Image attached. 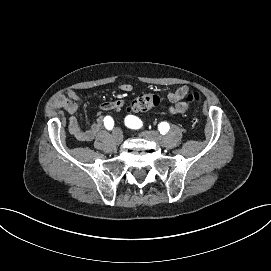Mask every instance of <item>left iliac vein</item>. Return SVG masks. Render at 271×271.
Here are the masks:
<instances>
[{"mask_svg": "<svg viewBox=\"0 0 271 271\" xmlns=\"http://www.w3.org/2000/svg\"><path fill=\"white\" fill-rule=\"evenodd\" d=\"M141 136L155 143L163 144V137L157 132L145 131L141 133Z\"/></svg>", "mask_w": 271, "mask_h": 271, "instance_id": "left-iliac-vein-1", "label": "left iliac vein"}]
</instances>
